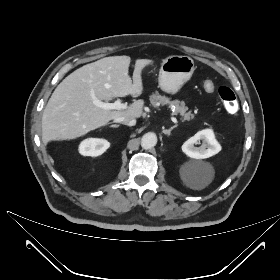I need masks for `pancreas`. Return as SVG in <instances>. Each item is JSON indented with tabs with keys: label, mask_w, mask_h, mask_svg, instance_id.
<instances>
[{
	"label": "pancreas",
	"mask_w": 280,
	"mask_h": 280,
	"mask_svg": "<svg viewBox=\"0 0 280 280\" xmlns=\"http://www.w3.org/2000/svg\"><path fill=\"white\" fill-rule=\"evenodd\" d=\"M150 103L153 107L168 105L170 108H174L175 114L180 115L185 121H190L195 118V115L191 111H188V107L185 106L183 101L171 100L164 95H160L158 92L150 96Z\"/></svg>",
	"instance_id": "pancreas-1"
}]
</instances>
